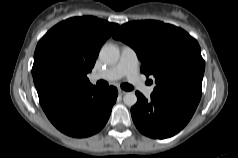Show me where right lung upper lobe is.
<instances>
[{"mask_svg":"<svg viewBox=\"0 0 238 158\" xmlns=\"http://www.w3.org/2000/svg\"><path fill=\"white\" fill-rule=\"evenodd\" d=\"M118 27L93 16L73 17L55 25L40 39L34 53L35 86L43 83L90 86L87 73L91 72L103 43ZM49 56L64 64V74L59 80L46 77L41 70L43 60Z\"/></svg>","mask_w":238,"mask_h":158,"instance_id":"right-lung-upper-lobe-1","label":"right lung upper lobe"}]
</instances>
